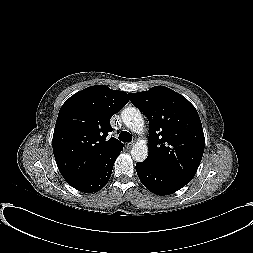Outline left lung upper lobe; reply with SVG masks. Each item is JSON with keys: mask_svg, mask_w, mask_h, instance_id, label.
Masks as SVG:
<instances>
[{"mask_svg": "<svg viewBox=\"0 0 253 253\" xmlns=\"http://www.w3.org/2000/svg\"><path fill=\"white\" fill-rule=\"evenodd\" d=\"M132 104L149 120V154L146 161L191 181L201 162L205 138L195 107L179 93L155 86L129 93Z\"/></svg>", "mask_w": 253, "mask_h": 253, "instance_id": "left-lung-upper-lobe-1", "label": "left lung upper lobe"}]
</instances>
